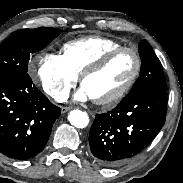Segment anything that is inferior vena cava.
Returning <instances> with one entry per match:
<instances>
[{"label":"inferior vena cava","mask_w":183,"mask_h":183,"mask_svg":"<svg viewBox=\"0 0 183 183\" xmlns=\"http://www.w3.org/2000/svg\"><path fill=\"white\" fill-rule=\"evenodd\" d=\"M68 96H69V95H68L67 93H62V94H60V95H57V96L55 97V99H56L57 102L62 103V102H66V101H67Z\"/></svg>","instance_id":"inferior-vena-cava-1"}]
</instances>
